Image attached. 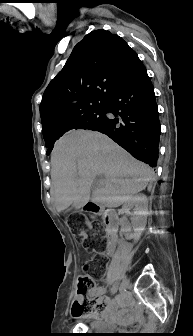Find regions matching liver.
<instances>
[{"instance_id":"6515ba94","label":"liver","mask_w":193,"mask_h":336,"mask_svg":"<svg viewBox=\"0 0 193 336\" xmlns=\"http://www.w3.org/2000/svg\"><path fill=\"white\" fill-rule=\"evenodd\" d=\"M51 178L57 212L91 202L120 206L153 180V170L108 136L79 130L61 139L51 154ZM98 175L105 180L96 183Z\"/></svg>"}]
</instances>
